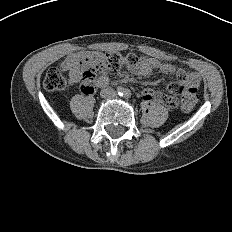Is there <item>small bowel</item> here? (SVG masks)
<instances>
[{
	"label": "small bowel",
	"mask_w": 232,
	"mask_h": 232,
	"mask_svg": "<svg viewBox=\"0 0 232 232\" xmlns=\"http://www.w3.org/2000/svg\"><path fill=\"white\" fill-rule=\"evenodd\" d=\"M65 70L68 71L69 81L72 84L78 83L81 77L80 71L77 67L75 58L71 57L65 62ZM134 74L145 76L154 72L162 74H175L177 77V83L184 82L189 87L197 88L200 84V75L196 72L187 71L182 68H177L175 65L165 62H160L155 58H144V61L137 67L131 68ZM98 86L105 87L108 84V77L102 75L98 78ZM156 93L150 89H144L142 97L146 101L155 99Z\"/></svg>",
	"instance_id": "obj_1"
}]
</instances>
